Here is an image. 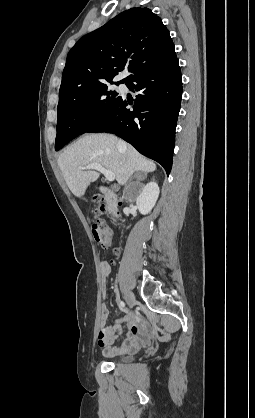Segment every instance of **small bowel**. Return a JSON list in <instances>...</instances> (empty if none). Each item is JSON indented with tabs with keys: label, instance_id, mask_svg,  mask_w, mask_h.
Segmentation results:
<instances>
[{
	"label": "small bowel",
	"instance_id": "c3829d8e",
	"mask_svg": "<svg viewBox=\"0 0 255 418\" xmlns=\"http://www.w3.org/2000/svg\"><path fill=\"white\" fill-rule=\"evenodd\" d=\"M111 272L108 261L100 263V273L102 283L105 285L106 279ZM108 310L103 306L101 311V328L98 333V345L103 348V354L108 357L124 354L138 350L149 339L150 331L143 325L138 314H128L124 319H119L113 326L106 325ZM127 323L128 331L126 337L120 344H116L117 338L121 333V324Z\"/></svg>",
	"mask_w": 255,
	"mask_h": 418
}]
</instances>
